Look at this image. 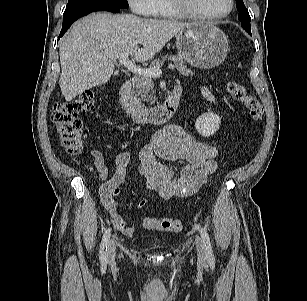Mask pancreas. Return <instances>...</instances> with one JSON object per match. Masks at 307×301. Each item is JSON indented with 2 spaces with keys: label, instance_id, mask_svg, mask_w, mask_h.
<instances>
[{
  "label": "pancreas",
  "instance_id": "obj_1",
  "mask_svg": "<svg viewBox=\"0 0 307 301\" xmlns=\"http://www.w3.org/2000/svg\"><path fill=\"white\" fill-rule=\"evenodd\" d=\"M173 61L177 70L184 76L192 75L190 69H188L181 56L166 54L161 59H155L150 67H158L165 61ZM133 91L134 97L139 101H145L147 104L154 105L157 102L155 95L154 83L151 77H145L143 75H136L133 78Z\"/></svg>",
  "mask_w": 307,
  "mask_h": 301
}]
</instances>
